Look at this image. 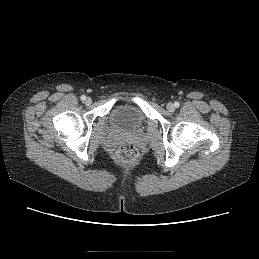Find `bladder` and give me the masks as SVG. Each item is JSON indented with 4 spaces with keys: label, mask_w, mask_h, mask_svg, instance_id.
Segmentation results:
<instances>
[{
    "label": "bladder",
    "mask_w": 259,
    "mask_h": 259,
    "mask_svg": "<svg viewBox=\"0 0 259 259\" xmlns=\"http://www.w3.org/2000/svg\"><path fill=\"white\" fill-rule=\"evenodd\" d=\"M108 121L110 125L121 130H136L142 128L147 117L143 110L129 103L115 105L109 112Z\"/></svg>",
    "instance_id": "1"
}]
</instances>
